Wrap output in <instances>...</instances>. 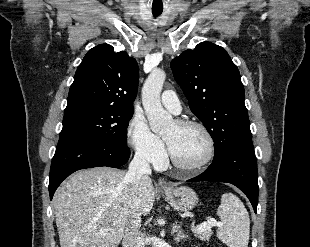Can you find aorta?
<instances>
[{
	"mask_svg": "<svg viewBox=\"0 0 310 247\" xmlns=\"http://www.w3.org/2000/svg\"><path fill=\"white\" fill-rule=\"evenodd\" d=\"M165 72L161 69L151 71L142 88V103L149 125L154 133H162L173 123L172 116L166 112L160 101L165 81Z\"/></svg>",
	"mask_w": 310,
	"mask_h": 247,
	"instance_id": "aorta-1",
	"label": "aorta"
}]
</instances>
